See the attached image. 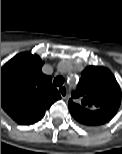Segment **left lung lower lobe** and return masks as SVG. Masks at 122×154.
Masks as SVG:
<instances>
[{"label": "left lung lower lobe", "mask_w": 122, "mask_h": 154, "mask_svg": "<svg viewBox=\"0 0 122 154\" xmlns=\"http://www.w3.org/2000/svg\"><path fill=\"white\" fill-rule=\"evenodd\" d=\"M116 112L117 111L103 110L102 111V113H103L102 117H100L98 119H93L90 126H87V127L98 126V125H101V124L108 122L109 120H111L113 118V116L116 114Z\"/></svg>", "instance_id": "obj_1"}]
</instances>
